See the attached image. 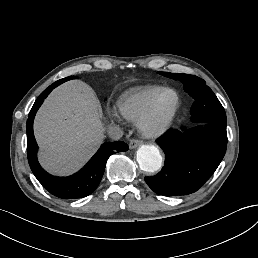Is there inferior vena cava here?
Returning <instances> with one entry per match:
<instances>
[{
	"mask_svg": "<svg viewBox=\"0 0 258 258\" xmlns=\"http://www.w3.org/2000/svg\"><path fill=\"white\" fill-rule=\"evenodd\" d=\"M108 135L111 139L119 140L123 136V131L118 127H110Z\"/></svg>",
	"mask_w": 258,
	"mask_h": 258,
	"instance_id": "obj_1",
	"label": "inferior vena cava"
}]
</instances>
